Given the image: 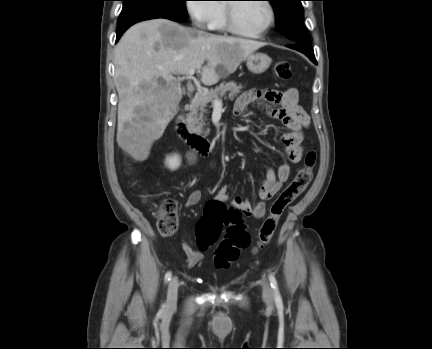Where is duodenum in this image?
<instances>
[{"mask_svg":"<svg viewBox=\"0 0 432 349\" xmlns=\"http://www.w3.org/2000/svg\"><path fill=\"white\" fill-rule=\"evenodd\" d=\"M176 132L192 151L204 157L210 155L208 140L192 128L188 113H182L178 118Z\"/></svg>","mask_w":432,"mask_h":349,"instance_id":"1","label":"duodenum"}]
</instances>
